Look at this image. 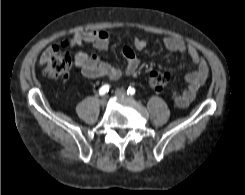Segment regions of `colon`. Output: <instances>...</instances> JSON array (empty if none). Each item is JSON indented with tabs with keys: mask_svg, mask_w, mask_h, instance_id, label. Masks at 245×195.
<instances>
[{
	"mask_svg": "<svg viewBox=\"0 0 245 195\" xmlns=\"http://www.w3.org/2000/svg\"><path fill=\"white\" fill-rule=\"evenodd\" d=\"M69 42H64L52 48L51 55L45 67V75L50 80L66 79L72 67V59L66 50ZM170 79L166 72H152L148 79V86L152 91L159 92L164 89Z\"/></svg>",
	"mask_w": 245,
	"mask_h": 195,
	"instance_id": "1",
	"label": "colon"
}]
</instances>
